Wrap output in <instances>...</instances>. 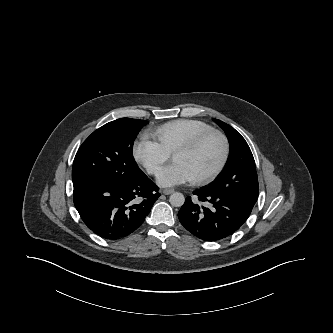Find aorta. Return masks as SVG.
<instances>
[{
    "label": "aorta",
    "instance_id": "1",
    "mask_svg": "<svg viewBox=\"0 0 333 333\" xmlns=\"http://www.w3.org/2000/svg\"><path fill=\"white\" fill-rule=\"evenodd\" d=\"M169 202L174 207H181L185 202L184 195L180 192H175L171 194Z\"/></svg>",
    "mask_w": 333,
    "mask_h": 333
}]
</instances>
